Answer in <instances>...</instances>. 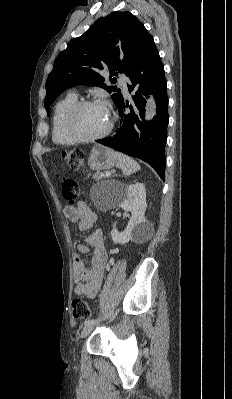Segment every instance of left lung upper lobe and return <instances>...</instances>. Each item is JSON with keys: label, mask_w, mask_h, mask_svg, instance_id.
Instances as JSON below:
<instances>
[{"label": "left lung upper lobe", "mask_w": 232, "mask_h": 399, "mask_svg": "<svg viewBox=\"0 0 232 399\" xmlns=\"http://www.w3.org/2000/svg\"><path fill=\"white\" fill-rule=\"evenodd\" d=\"M153 37L130 12H113L98 19L82 36L72 39L57 56L46 82L45 109L67 88L75 85L100 86L118 106L123 95L120 89L107 86L99 71L110 70L111 83L115 76H128L143 48Z\"/></svg>", "instance_id": "obj_1"}]
</instances>
